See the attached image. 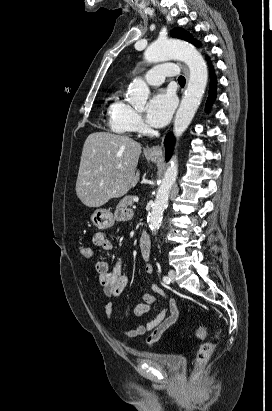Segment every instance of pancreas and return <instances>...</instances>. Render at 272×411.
I'll return each mask as SVG.
<instances>
[{
	"label": "pancreas",
	"instance_id": "1",
	"mask_svg": "<svg viewBox=\"0 0 272 411\" xmlns=\"http://www.w3.org/2000/svg\"><path fill=\"white\" fill-rule=\"evenodd\" d=\"M133 199L134 196H125L117 205L116 207V213L120 212V211H125L128 209L129 206L133 205Z\"/></svg>",
	"mask_w": 272,
	"mask_h": 411
}]
</instances>
